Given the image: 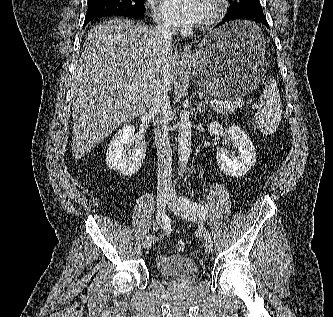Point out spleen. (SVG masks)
<instances>
[{"label": "spleen", "mask_w": 333, "mask_h": 317, "mask_svg": "<svg viewBox=\"0 0 333 317\" xmlns=\"http://www.w3.org/2000/svg\"><path fill=\"white\" fill-rule=\"evenodd\" d=\"M254 29L260 31L254 24ZM261 108L255 113V119L259 128L267 134H273L281 121L282 105L278 86L273 78H270L259 97Z\"/></svg>", "instance_id": "obj_1"}]
</instances>
